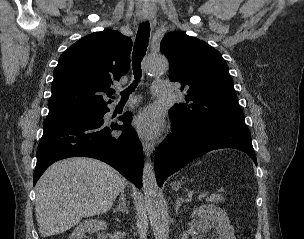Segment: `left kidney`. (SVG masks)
I'll return each mask as SVG.
<instances>
[{"mask_svg":"<svg viewBox=\"0 0 304 239\" xmlns=\"http://www.w3.org/2000/svg\"><path fill=\"white\" fill-rule=\"evenodd\" d=\"M192 217H195L194 229L198 233H206L210 228L216 227L218 239H236L229 217L221 208L209 204L196 208Z\"/></svg>","mask_w":304,"mask_h":239,"instance_id":"left-kidney-1","label":"left kidney"}]
</instances>
